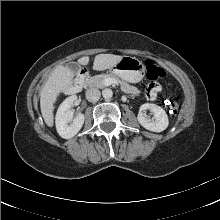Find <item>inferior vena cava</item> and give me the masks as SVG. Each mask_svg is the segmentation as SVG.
<instances>
[{
	"instance_id": "obj_1",
	"label": "inferior vena cava",
	"mask_w": 220,
	"mask_h": 220,
	"mask_svg": "<svg viewBox=\"0 0 220 220\" xmlns=\"http://www.w3.org/2000/svg\"><path fill=\"white\" fill-rule=\"evenodd\" d=\"M101 93L96 88H90L86 91V99L89 102H97L100 99Z\"/></svg>"
}]
</instances>
